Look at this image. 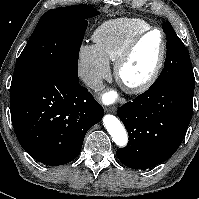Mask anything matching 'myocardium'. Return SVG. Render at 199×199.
<instances>
[{
  "label": "myocardium",
  "mask_w": 199,
  "mask_h": 199,
  "mask_svg": "<svg viewBox=\"0 0 199 199\" xmlns=\"http://www.w3.org/2000/svg\"><path fill=\"white\" fill-rule=\"evenodd\" d=\"M153 32H158L161 35V52L158 58V61L151 72V74L142 82L137 84H128L123 81L122 79V68L126 64V62L131 57L132 53L134 52L137 45L140 43V41L148 36L149 34ZM167 38L165 33L157 27H150L139 34H137L135 37H133L130 42L126 45V47L123 49V51L120 53L118 58L115 60L114 64V75L115 79L118 82V84L123 88L124 91L130 93V94H141L146 92L148 89H150L157 79L160 76V73L163 69L166 55H167Z\"/></svg>",
  "instance_id": "obj_1"
}]
</instances>
